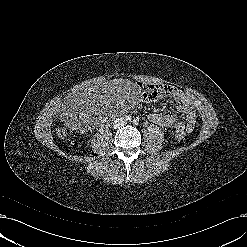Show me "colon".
<instances>
[{
	"label": "colon",
	"instance_id": "1",
	"mask_svg": "<svg viewBox=\"0 0 247 247\" xmlns=\"http://www.w3.org/2000/svg\"><path fill=\"white\" fill-rule=\"evenodd\" d=\"M143 90L145 92V96L147 99L152 100L154 98H156L158 96V91L155 87H153L152 85H147L145 87H143ZM56 135L61 138L64 139L67 137L68 135V130L65 126L63 125H59L56 128ZM186 133L183 130H177L175 132V137L178 140H182L185 137Z\"/></svg>",
	"mask_w": 247,
	"mask_h": 247
}]
</instances>
